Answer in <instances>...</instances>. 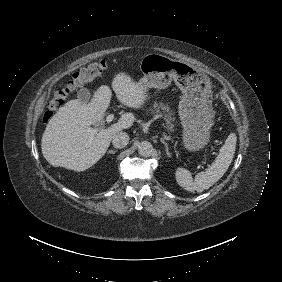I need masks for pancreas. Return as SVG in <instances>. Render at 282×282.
Returning a JSON list of instances; mask_svg holds the SVG:
<instances>
[{"label":"pancreas","mask_w":282,"mask_h":282,"mask_svg":"<svg viewBox=\"0 0 282 282\" xmlns=\"http://www.w3.org/2000/svg\"><path fill=\"white\" fill-rule=\"evenodd\" d=\"M149 113L153 114L156 118L164 119L166 124L165 128L168 129V132H174L175 128L178 126L175 118L176 112L171 110L168 103H164L163 101L155 102L145 109V116H148Z\"/></svg>","instance_id":"obj_1"}]
</instances>
